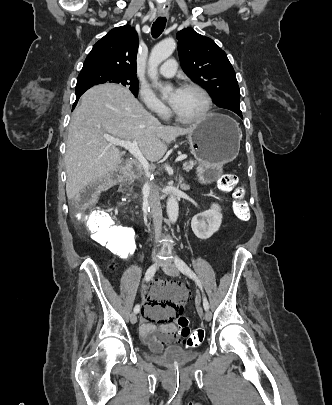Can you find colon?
Returning a JSON list of instances; mask_svg holds the SVG:
<instances>
[{
	"mask_svg": "<svg viewBox=\"0 0 332 405\" xmlns=\"http://www.w3.org/2000/svg\"><path fill=\"white\" fill-rule=\"evenodd\" d=\"M218 184L222 190L232 193L235 216L242 221H247L250 217L249 207L244 198V190L238 186V177L234 174H224L219 178ZM108 186L109 179L103 178L76 196L73 204L77 211L73 216V221L78 226H84L96 242H104L108 256H135L137 249L135 231H125L128 228L117 225L112 216L104 210L84 211L85 207ZM118 228H121L122 231H118ZM168 288L184 287L170 284ZM175 312H181L175 315L173 323L179 326L178 332L183 342L182 345L186 346L188 351H199L204 334L209 332L208 325H195L191 330L190 326L194 323L192 312L190 310Z\"/></svg>",
	"mask_w": 332,
	"mask_h": 405,
	"instance_id": "colon-1",
	"label": "colon"
}]
</instances>
